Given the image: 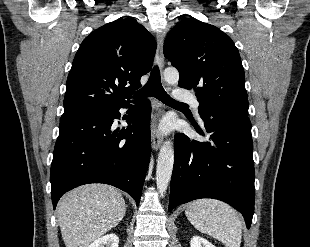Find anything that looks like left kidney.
<instances>
[{"label": "left kidney", "mask_w": 310, "mask_h": 247, "mask_svg": "<svg viewBox=\"0 0 310 247\" xmlns=\"http://www.w3.org/2000/svg\"><path fill=\"white\" fill-rule=\"evenodd\" d=\"M190 247H215V246L200 236H193L190 241Z\"/></svg>", "instance_id": "obj_1"}]
</instances>
